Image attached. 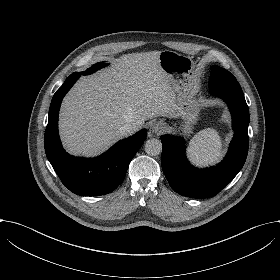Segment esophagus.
Here are the masks:
<instances>
[{
	"instance_id": "esophagus-1",
	"label": "esophagus",
	"mask_w": 280,
	"mask_h": 280,
	"mask_svg": "<svg viewBox=\"0 0 280 280\" xmlns=\"http://www.w3.org/2000/svg\"><path fill=\"white\" fill-rule=\"evenodd\" d=\"M164 130H165V125H164V123H162V122H160V121L153 122V123L150 125V131H151L153 134H160V133H162Z\"/></svg>"
}]
</instances>
